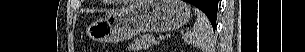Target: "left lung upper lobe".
<instances>
[{"label":"left lung upper lobe","mask_w":305,"mask_h":52,"mask_svg":"<svg viewBox=\"0 0 305 52\" xmlns=\"http://www.w3.org/2000/svg\"><path fill=\"white\" fill-rule=\"evenodd\" d=\"M217 10H218V8H217ZM217 10H215V9H204V13L207 15V17L209 18L212 25L216 24Z\"/></svg>","instance_id":"1"}]
</instances>
